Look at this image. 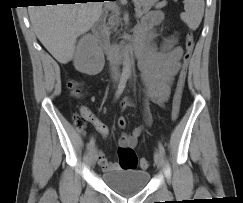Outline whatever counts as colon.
Instances as JSON below:
<instances>
[{
	"mask_svg": "<svg viewBox=\"0 0 243 203\" xmlns=\"http://www.w3.org/2000/svg\"><path fill=\"white\" fill-rule=\"evenodd\" d=\"M195 41L192 33H187L185 40L186 52L183 56V64L178 75L176 92L172 105V119L176 120L179 117L182 93L185 87L186 78L188 74V63L191 58ZM72 95L80 96L83 93L82 83L76 80H72L68 83ZM89 119V114L85 109H82L75 116V123L79 129H83L86 126V122ZM119 165L121 169L133 170L136 169L138 164L142 169L148 167V161L146 159H141L138 162L135 150L129 146H120L118 149Z\"/></svg>",
	"mask_w": 243,
	"mask_h": 203,
	"instance_id": "colon-1",
	"label": "colon"
}]
</instances>
